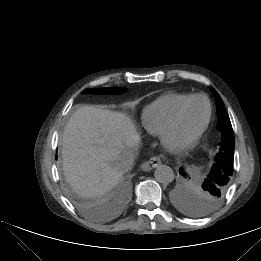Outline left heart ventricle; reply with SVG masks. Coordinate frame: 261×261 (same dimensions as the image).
<instances>
[{"instance_id":"left-heart-ventricle-1","label":"left heart ventricle","mask_w":261,"mask_h":261,"mask_svg":"<svg viewBox=\"0 0 261 261\" xmlns=\"http://www.w3.org/2000/svg\"><path fill=\"white\" fill-rule=\"evenodd\" d=\"M207 113V104L204 99L191 101L183 110L179 123L173 132L175 141L191 137L203 124Z\"/></svg>"}]
</instances>
